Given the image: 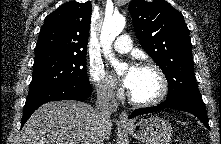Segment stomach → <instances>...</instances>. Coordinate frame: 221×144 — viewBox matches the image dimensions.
I'll list each match as a JSON object with an SVG mask.
<instances>
[{
    "instance_id": "stomach-1",
    "label": "stomach",
    "mask_w": 221,
    "mask_h": 144,
    "mask_svg": "<svg viewBox=\"0 0 221 144\" xmlns=\"http://www.w3.org/2000/svg\"><path fill=\"white\" fill-rule=\"evenodd\" d=\"M124 128L143 144H170L173 137L171 124L158 116L125 125Z\"/></svg>"
}]
</instances>
